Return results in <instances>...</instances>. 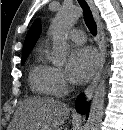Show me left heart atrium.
<instances>
[{
  "mask_svg": "<svg viewBox=\"0 0 123 130\" xmlns=\"http://www.w3.org/2000/svg\"><path fill=\"white\" fill-rule=\"evenodd\" d=\"M97 64V54L89 47L76 49L69 59L71 75L79 83L86 82L92 76Z\"/></svg>",
  "mask_w": 123,
  "mask_h": 130,
  "instance_id": "left-heart-atrium-1",
  "label": "left heart atrium"
}]
</instances>
